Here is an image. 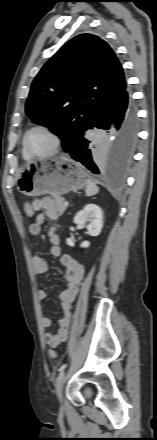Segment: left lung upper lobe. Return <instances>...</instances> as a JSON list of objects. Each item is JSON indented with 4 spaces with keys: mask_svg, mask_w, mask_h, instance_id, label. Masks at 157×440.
<instances>
[{
    "mask_svg": "<svg viewBox=\"0 0 157 440\" xmlns=\"http://www.w3.org/2000/svg\"><path fill=\"white\" fill-rule=\"evenodd\" d=\"M127 88L112 48L92 34L69 40L35 77L26 113L36 124L52 126L68 151L96 109Z\"/></svg>",
    "mask_w": 157,
    "mask_h": 440,
    "instance_id": "left-lung-upper-lobe-1",
    "label": "left lung upper lobe"
}]
</instances>
